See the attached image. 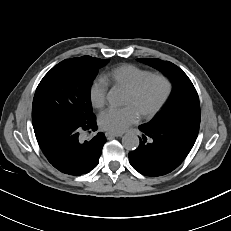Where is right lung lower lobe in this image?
<instances>
[{
  "instance_id": "right-lung-lower-lobe-1",
  "label": "right lung lower lobe",
  "mask_w": 231,
  "mask_h": 231,
  "mask_svg": "<svg viewBox=\"0 0 231 231\" xmlns=\"http://www.w3.org/2000/svg\"><path fill=\"white\" fill-rule=\"evenodd\" d=\"M33 128L42 152L59 171L78 176L97 166L106 142L104 134L98 133L89 141L79 139L82 130H97L96 120L83 126L46 120L34 124Z\"/></svg>"
}]
</instances>
